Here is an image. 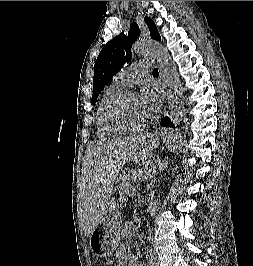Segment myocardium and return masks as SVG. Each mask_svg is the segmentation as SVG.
I'll list each match as a JSON object with an SVG mask.
<instances>
[{"mask_svg": "<svg viewBox=\"0 0 253 266\" xmlns=\"http://www.w3.org/2000/svg\"><path fill=\"white\" fill-rule=\"evenodd\" d=\"M133 94H137L135 90H124L121 92L110 104L108 110L106 119L108 124L122 132H134L138 131L142 126L145 125V120L142 121L139 124H129L126 121L123 120V118L120 115V109L123 104V102Z\"/></svg>", "mask_w": 253, "mask_h": 266, "instance_id": "1", "label": "myocardium"}]
</instances>
